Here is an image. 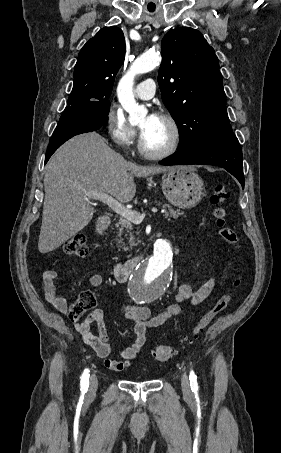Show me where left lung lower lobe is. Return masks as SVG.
Masks as SVG:
<instances>
[{
	"label": "left lung lower lobe",
	"mask_w": 281,
	"mask_h": 453,
	"mask_svg": "<svg viewBox=\"0 0 281 453\" xmlns=\"http://www.w3.org/2000/svg\"><path fill=\"white\" fill-rule=\"evenodd\" d=\"M159 164L220 166L236 177L244 188L242 150L234 134L229 137L178 150L174 155L160 161Z\"/></svg>",
	"instance_id": "obj_1"
}]
</instances>
